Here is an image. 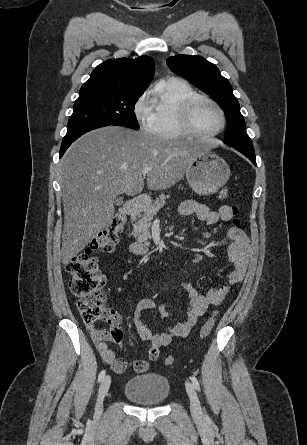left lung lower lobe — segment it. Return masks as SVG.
Here are the masks:
<instances>
[{"instance_id":"left-lung-lower-lobe-1","label":"left lung lower lobe","mask_w":307,"mask_h":445,"mask_svg":"<svg viewBox=\"0 0 307 445\" xmlns=\"http://www.w3.org/2000/svg\"><path fill=\"white\" fill-rule=\"evenodd\" d=\"M233 148H235L236 150H238L239 152H241L243 155H245L255 166H257L256 164V157L254 154V148L253 149H249V148H244V147H234L231 146Z\"/></svg>"}]
</instances>
